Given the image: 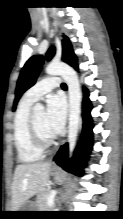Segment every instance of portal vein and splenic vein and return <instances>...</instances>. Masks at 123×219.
<instances>
[{
  "mask_svg": "<svg viewBox=\"0 0 123 219\" xmlns=\"http://www.w3.org/2000/svg\"><path fill=\"white\" fill-rule=\"evenodd\" d=\"M56 194H57V191L56 190H52L50 192V194L48 195V197H47V206L48 207L53 205Z\"/></svg>",
  "mask_w": 123,
  "mask_h": 219,
  "instance_id": "1",
  "label": "portal vein and splenic vein"
}]
</instances>
